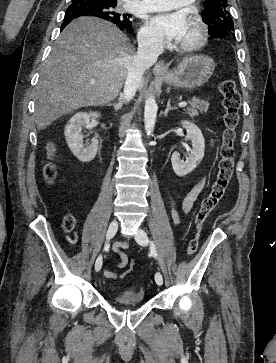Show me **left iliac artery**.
<instances>
[{
    "mask_svg": "<svg viewBox=\"0 0 276 363\" xmlns=\"http://www.w3.org/2000/svg\"><path fill=\"white\" fill-rule=\"evenodd\" d=\"M151 253L154 255V257L157 256V253H156V248H155V245L153 244V242H151Z\"/></svg>",
    "mask_w": 276,
    "mask_h": 363,
    "instance_id": "44dca946",
    "label": "left iliac artery"
}]
</instances>
